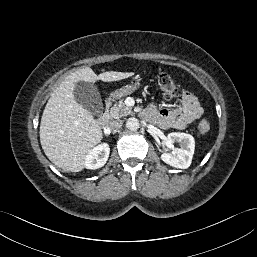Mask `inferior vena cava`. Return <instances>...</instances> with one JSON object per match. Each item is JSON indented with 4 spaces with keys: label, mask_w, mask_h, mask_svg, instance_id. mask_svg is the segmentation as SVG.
<instances>
[{
    "label": "inferior vena cava",
    "mask_w": 257,
    "mask_h": 257,
    "mask_svg": "<svg viewBox=\"0 0 257 257\" xmlns=\"http://www.w3.org/2000/svg\"><path fill=\"white\" fill-rule=\"evenodd\" d=\"M122 125H123V121L122 120H114V121H111L109 123V127L112 130L120 129L122 127Z\"/></svg>",
    "instance_id": "inferior-vena-cava-1"
}]
</instances>
